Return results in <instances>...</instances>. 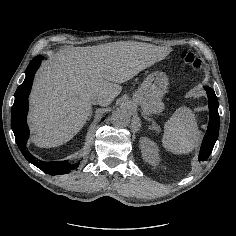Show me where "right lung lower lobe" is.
<instances>
[{
  "label": "right lung lower lobe",
  "mask_w": 236,
  "mask_h": 236,
  "mask_svg": "<svg viewBox=\"0 0 236 236\" xmlns=\"http://www.w3.org/2000/svg\"><path fill=\"white\" fill-rule=\"evenodd\" d=\"M41 60L42 57L38 55L31 61L26 69V77L24 82L15 92V101L11 111V126L20 151L30 163L50 175L66 174L74 169H77L79 162L69 163L68 161H39L27 150L26 144L29 137V128L26 122L28 112V96L31 91L34 74L40 66Z\"/></svg>",
  "instance_id": "right-lung-lower-lobe-1"
}]
</instances>
